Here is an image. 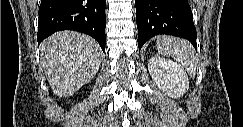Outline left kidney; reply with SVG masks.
Returning <instances> with one entry per match:
<instances>
[{"mask_svg":"<svg viewBox=\"0 0 243 127\" xmlns=\"http://www.w3.org/2000/svg\"><path fill=\"white\" fill-rule=\"evenodd\" d=\"M148 70L159 89L172 98H179L189 89L188 76L176 62L152 57L148 60Z\"/></svg>","mask_w":243,"mask_h":127,"instance_id":"5707ae66","label":"left kidney"}]
</instances>
